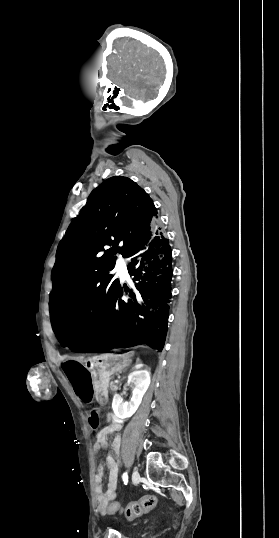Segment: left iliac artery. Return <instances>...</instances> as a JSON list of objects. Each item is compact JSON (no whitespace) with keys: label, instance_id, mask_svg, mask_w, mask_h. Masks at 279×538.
<instances>
[{"label":"left iliac artery","instance_id":"1","mask_svg":"<svg viewBox=\"0 0 279 538\" xmlns=\"http://www.w3.org/2000/svg\"><path fill=\"white\" fill-rule=\"evenodd\" d=\"M122 479H123L124 484H127V482H128V474L126 472L123 473Z\"/></svg>","mask_w":279,"mask_h":538}]
</instances>
